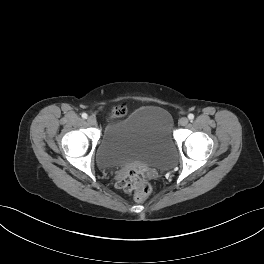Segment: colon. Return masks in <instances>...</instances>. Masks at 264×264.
Here are the masks:
<instances>
[{
    "instance_id": "1",
    "label": "colon",
    "mask_w": 264,
    "mask_h": 264,
    "mask_svg": "<svg viewBox=\"0 0 264 264\" xmlns=\"http://www.w3.org/2000/svg\"><path fill=\"white\" fill-rule=\"evenodd\" d=\"M126 114V107L119 105L112 111L115 118L123 117ZM121 188L127 192L133 191L137 200H143L151 192V184L137 170H131L119 182Z\"/></svg>"
}]
</instances>
